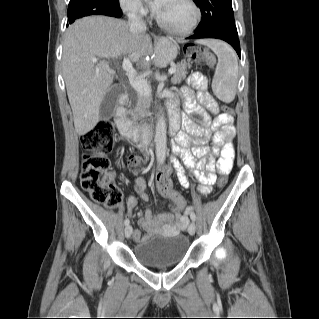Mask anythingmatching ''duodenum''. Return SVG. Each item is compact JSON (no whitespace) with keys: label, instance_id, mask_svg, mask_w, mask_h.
<instances>
[{"label":"duodenum","instance_id":"duodenum-1","mask_svg":"<svg viewBox=\"0 0 319 319\" xmlns=\"http://www.w3.org/2000/svg\"><path fill=\"white\" fill-rule=\"evenodd\" d=\"M116 124L122 137L129 143L141 144L151 138L153 126L151 124H133L129 118V112L125 107V101L120 99V105L116 111ZM179 129V121L170 117L169 133L174 135Z\"/></svg>","mask_w":319,"mask_h":319}]
</instances>
